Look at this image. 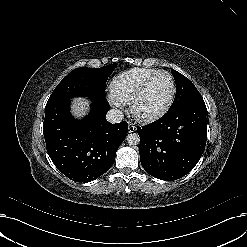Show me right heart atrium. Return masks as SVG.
<instances>
[{
	"mask_svg": "<svg viewBox=\"0 0 247 247\" xmlns=\"http://www.w3.org/2000/svg\"><path fill=\"white\" fill-rule=\"evenodd\" d=\"M109 101L116 109H122L124 106V104L120 100L112 95L110 96Z\"/></svg>",
	"mask_w": 247,
	"mask_h": 247,
	"instance_id": "right-heart-atrium-1",
	"label": "right heart atrium"
}]
</instances>
